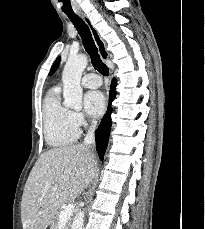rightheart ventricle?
<instances>
[{
	"instance_id": "obj_1",
	"label": "right heart ventricle",
	"mask_w": 205,
	"mask_h": 229,
	"mask_svg": "<svg viewBox=\"0 0 205 229\" xmlns=\"http://www.w3.org/2000/svg\"><path fill=\"white\" fill-rule=\"evenodd\" d=\"M43 131L48 145L61 148L74 143L79 130L72 120V111L65 107L57 92H50L43 102Z\"/></svg>"
}]
</instances>
